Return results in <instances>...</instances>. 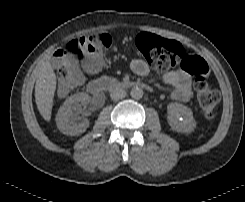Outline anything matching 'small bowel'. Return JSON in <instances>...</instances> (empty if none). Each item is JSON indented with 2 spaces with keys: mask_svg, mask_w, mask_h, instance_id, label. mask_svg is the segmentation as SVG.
<instances>
[{
  "mask_svg": "<svg viewBox=\"0 0 245 202\" xmlns=\"http://www.w3.org/2000/svg\"><path fill=\"white\" fill-rule=\"evenodd\" d=\"M101 62L98 60L88 61V70L90 73H97L101 69ZM132 72L140 77L149 75L148 65L141 59H135L131 62ZM164 83L172 86L171 98L176 101H188L192 98L193 92L191 87V77L183 70H172L165 73L162 77ZM81 83V82H80ZM70 89L67 85H61L58 88L60 93H64Z\"/></svg>",
  "mask_w": 245,
  "mask_h": 202,
  "instance_id": "c3829d8e",
  "label": "small bowel"
}]
</instances>
